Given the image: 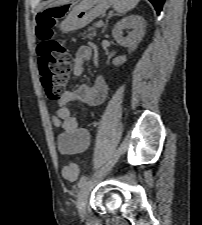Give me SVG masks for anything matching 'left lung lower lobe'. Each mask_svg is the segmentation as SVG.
I'll use <instances>...</instances> for the list:
<instances>
[{"mask_svg": "<svg viewBox=\"0 0 202 225\" xmlns=\"http://www.w3.org/2000/svg\"><path fill=\"white\" fill-rule=\"evenodd\" d=\"M149 1L155 7L157 14H159L160 11L162 10V6H163V3L165 2V0H149Z\"/></svg>", "mask_w": 202, "mask_h": 225, "instance_id": "left-lung-lower-lobe-1", "label": "left lung lower lobe"}]
</instances>
